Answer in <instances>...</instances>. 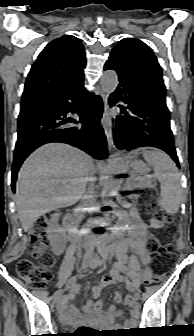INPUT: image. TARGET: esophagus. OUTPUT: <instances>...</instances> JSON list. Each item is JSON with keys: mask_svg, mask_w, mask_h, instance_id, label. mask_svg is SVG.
<instances>
[{"mask_svg": "<svg viewBox=\"0 0 194 336\" xmlns=\"http://www.w3.org/2000/svg\"><path fill=\"white\" fill-rule=\"evenodd\" d=\"M103 105H104V110H103V116H102V123L104 127V132H105L109 147L112 149H115L112 130L107 121L108 112H109V97L107 94L103 95Z\"/></svg>", "mask_w": 194, "mask_h": 336, "instance_id": "34e87169", "label": "esophagus"}]
</instances>
